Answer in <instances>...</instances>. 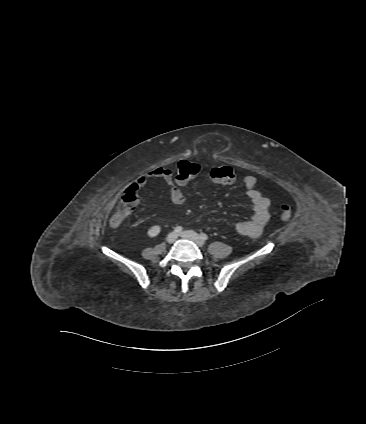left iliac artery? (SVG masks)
<instances>
[{
	"label": "left iliac artery",
	"instance_id": "left-iliac-artery-1",
	"mask_svg": "<svg viewBox=\"0 0 366 424\" xmlns=\"http://www.w3.org/2000/svg\"><path fill=\"white\" fill-rule=\"evenodd\" d=\"M199 237L202 239V240H207L208 239V236L205 234V233H201L200 235H199Z\"/></svg>",
	"mask_w": 366,
	"mask_h": 424
}]
</instances>
